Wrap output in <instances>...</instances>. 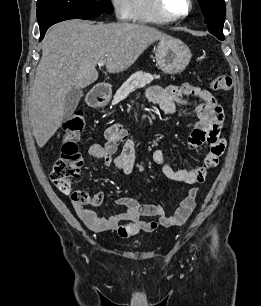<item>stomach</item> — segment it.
<instances>
[{
  "instance_id": "obj_1",
  "label": "stomach",
  "mask_w": 261,
  "mask_h": 306,
  "mask_svg": "<svg viewBox=\"0 0 261 306\" xmlns=\"http://www.w3.org/2000/svg\"><path fill=\"white\" fill-rule=\"evenodd\" d=\"M155 57L159 68L163 72L179 74L188 66L192 54L184 42L168 37L159 41Z\"/></svg>"
}]
</instances>
